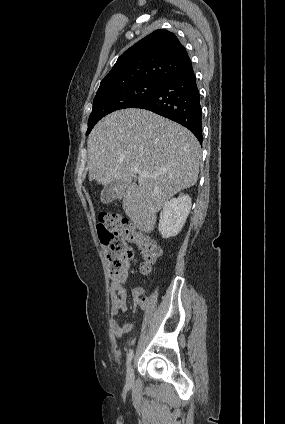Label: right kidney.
<instances>
[{"instance_id":"right-kidney-1","label":"right kidney","mask_w":285,"mask_h":424,"mask_svg":"<svg viewBox=\"0 0 285 424\" xmlns=\"http://www.w3.org/2000/svg\"><path fill=\"white\" fill-rule=\"evenodd\" d=\"M191 206V198L185 194L164 203L159 220V232L164 239L174 237L181 231Z\"/></svg>"}]
</instances>
